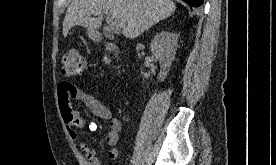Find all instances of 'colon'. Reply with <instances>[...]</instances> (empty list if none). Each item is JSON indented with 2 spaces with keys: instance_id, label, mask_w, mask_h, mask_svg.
Returning a JSON list of instances; mask_svg holds the SVG:
<instances>
[{
  "instance_id": "obj_1",
  "label": "colon",
  "mask_w": 276,
  "mask_h": 165,
  "mask_svg": "<svg viewBox=\"0 0 276 165\" xmlns=\"http://www.w3.org/2000/svg\"><path fill=\"white\" fill-rule=\"evenodd\" d=\"M86 67L84 57L75 50H70L62 58V74L65 76H77L81 74Z\"/></svg>"
}]
</instances>
